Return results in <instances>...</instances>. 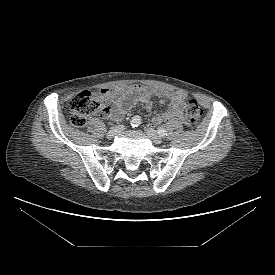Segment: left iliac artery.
<instances>
[{"label":"left iliac artery","instance_id":"obj_1","mask_svg":"<svg viewBox=\"0 0 275 275\" xmlns=\"http://www.w3.org/2000/svg\"><path fill=\"white\" fill-rule=\"evenodd\" d=\"M157 133L160 136H165L167 134V131H166V129L160 127V128H158Z\"/></svg>","mask_w":275,"mask_h":275}]
</instances>
